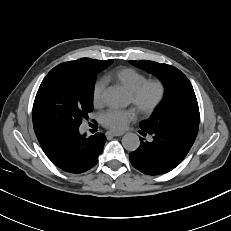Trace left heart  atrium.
Segmentation results:
<instances>
[{
	"mask_svg": "<svg viewBox=\"0 0 231 231\" xmlns=\"http://www.w3.org/2000/svg\"><path fill=\"white\" fill-rule=\"evenodd\" d=\"M135 114L132 110L110 109L102 114V124L116 132L124 130L134 120Z\"/></svg>",
	"mask_w": 231,
	"mask_h": 231,
	"instance_id": "1",
	"label": "left heart atrium"
}]
</instances>
